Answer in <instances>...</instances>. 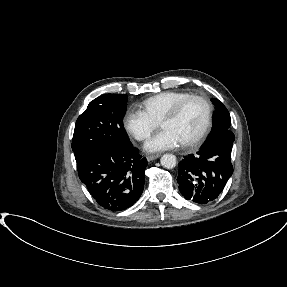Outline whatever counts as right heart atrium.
<instances>
[{
	"mask_svg": "<svg viewBox=\"0 0 287 287\" xmlns=\"http://www.w3.org/2000/svg\"><path fill=\"white\" fill-rule=\"evenodd\" d=\"M123 125L132 137L144 141L155 129L156 121L141 109H130L124 116Z\"/></svg>",
	"mask_w": 287,
	"mask_h": 287,
	"instance_id": "obj_1",
	"label": "right heart atrium"
}]
</instances>
